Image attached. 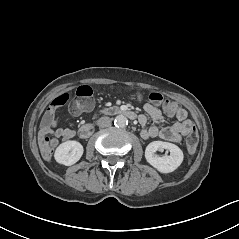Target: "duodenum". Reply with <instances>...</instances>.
Wrapping results in <instances>:
<instances>
[{"mask_svg": "<svg viewBox=\"0 0 239 239\" xmlns=\"http://www.w3.org/2000/svg\"><path fill=\"white\" fill-rule=\"evenodd\" d=\"M104 113L105 114H120L121 113L130 119L136 118V114L133 111L121 109L119 107H111V108L105 109ZM93 131H94V125L91 123H87V124L82 125L79 128L78 132H79V135L81 138H88L92 135Z\"/></svg>", "mask_w": 239, "mask_h": 239, "instance_id": "obj_1", "label": "duodenum"}]
</instances>
